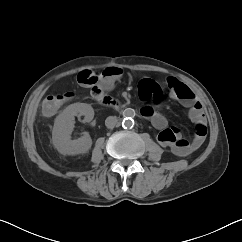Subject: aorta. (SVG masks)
<instances>
[{"mask_svg":"<svg viewBox=\"0 0 242 242\" xmlns=\"http://www.w3.org/2000/svg\"><path fill=\"white\" fill-rule=\"evenodd\" d=\"M136 115L135 110L132 108H126L123 111V121H122V126L124 128H131L134 125V116Z\"/></svg>","mask_w":242,"mask_h":242,"instance_id":"1","label":"aorta"}]
</instances>
